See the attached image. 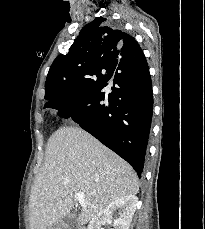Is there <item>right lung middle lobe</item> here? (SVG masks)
<instances>
[{
  "instance_id": "1",
  "label": "right lung middle lobe",
  "mask_w": 205,
  "mask_h": 229,
  "mask_svg": "<svg viewBox=\"0 0 205 229\" xmlns=\"http://www.w3.org/2000/svg\"><path fill=\"white\" fill-rule=\"evenodd\" d=\"M111 77L110 76H104V75H102V76H98V77H95L94 79H93V81L89 84V85H86V86H82L81 88H80V91L79 92H81V91H83V90H86V89H89V88H92V87H95V86H98V85H104V84H106L107 82H108V80L110 79ZM78 93V92H77ZM47 107V106H46ZM45 107V108H46Z\"/></svg>"
}]
</instances>
